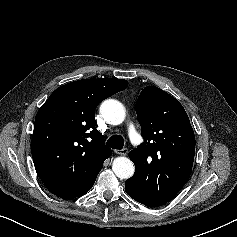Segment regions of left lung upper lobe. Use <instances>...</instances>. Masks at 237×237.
I'll use <instances>...</instances> for the list:
<instances>
[{
	"label": "left lung upper lobe",
	"mask_w": 237,
	"mask_h": 237,
	"mask_svg": "<svg viewBox=\"0 0 237 237\" xmlns=\"http://www.w3.org/2000/svg\"><path fill=\"white\" fill-rule=\"evenodd\" d=\"M144 142L129 153L135 164L133 187L143 203L162 206L188 181L195 155V135L180 102L147 86L136 103Z\"/></svg>",
	"instance_id": "5c2ea615"
}]
</instances>
